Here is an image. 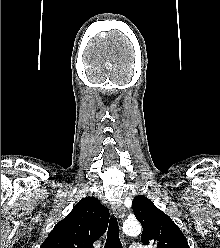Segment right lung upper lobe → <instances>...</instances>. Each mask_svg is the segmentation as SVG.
<instances>
[{
	"label": "right lung upper lobe",
	"instance_id": "cb5924a9",
	"mask_svg": "<svg viewBox=\"0 0 220 248\" xmlns=\"http://www.w3.org/2000/svg\"><path fill=\"white\" fill-rule=\"evenodd\" d=\"M109 210L98 199L86 197L50 232L40 248H93L106 231Z\"/></svg>",
	"mask_w": 220,
	"mask_h": 248
}]
</instances>
